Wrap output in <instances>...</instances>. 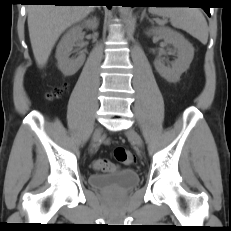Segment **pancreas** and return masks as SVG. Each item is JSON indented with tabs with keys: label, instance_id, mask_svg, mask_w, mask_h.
Segmentation results:
<instances>
[{
	"label": "pancreas",
	"instance_id": "obj_1",
	"mask_svg": "<svg viewBox=\"0 0 231 231\" xmlns=\"http://www.w3.org/2000/svg\"><path fill=\"white\" fill-rule=\"evenodd\" d=\"M160 24H164V22H159Z\"/></svg>",
	"mask_w": 231,
	"mask_h": 231
}]
</instances>
